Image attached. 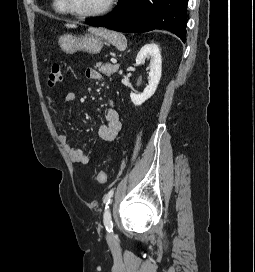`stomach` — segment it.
<instances>
[{"mask_svg":"<svg viewBox=\"0 0 255 272\" xmlns=\"http://www.w3.org/2000/svg\"><path fill=\"white\" fill-rule=\"evenodd\" d=\"M104 44V38L97 34H85L83 36L65 34L59 38V45L67 54H73L78 51L97 54L101 51Z\"/></svg>","mask_w":255,"mask_h":272,"instance_id":"stomach-1","label":"stomach"}]
</instances>
